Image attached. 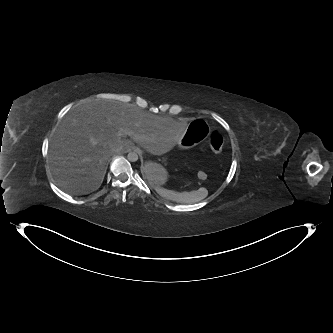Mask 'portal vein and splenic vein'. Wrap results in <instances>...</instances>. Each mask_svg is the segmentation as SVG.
<instances>
[{"label": "portal vein and splenic vein", "instance_id": "18ae733b", "mask_svg": "<svg viewBox=\"0 0 333 333\" xmlns=\"http://www.w3.org/2000/svg\"><path fill=\"white\" fill-rule=\"evenodd\" d=\"M127 134H129V131L126 130V129H120L119 132H118L119 136H124V135H127Z\"/></svg>", "mask_w": 333, "mask_h": 333}]
</instances>
